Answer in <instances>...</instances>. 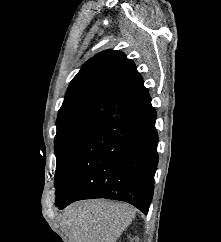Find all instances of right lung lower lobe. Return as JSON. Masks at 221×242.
Instances as JSON below:
<instances>
[{
	"instance_id": "obj_1",
	"label": "right lung lower lobe",
	"mask_w": 221,
	"mask_h": 242,
	"mask_svg": "<svg viewBox=\"0 0 221 242\" xmlns=\"http://www.w3.org/2000/svg\"><path fill=\"white\" fill-rule=\"evenodd\" d=\"M156 111L147 92L102 122L67 163L55 205L108 198L128 202L147 214L158 164Z\"/></svg>"
}]
</instances>
